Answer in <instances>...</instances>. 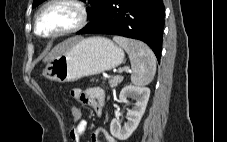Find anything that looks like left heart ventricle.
I'll return each instance as SVG.
<instances>
[{"instance_id":"left-heart-ventricle-1","label":"left heart ventricle","mask_w":227,"mask_h":142,"mask_svg":"<svg viewBox=\"0 0 227 142\" xmlns=\"http://www.w3.org/2000/svg\"><path fill=\"white\" fill-rule=\"evenodd\" d=\"M78 20V12L71 5H54L41 15L38 30L42 34H52L72 27Z\"/></svg>"}]
</instances>
